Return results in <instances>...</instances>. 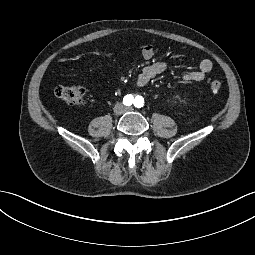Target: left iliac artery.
<instances>
[{
    "instance_id": "obj_1",
    "label": "left iliac artery",
    "mask_w": 255,
    "mask_h": 255,
    "mask_svg": "<svg viewBox=\"0 0 255 255\" xmlns=\"http://www.w3.org/2000/svg\"><path fill=\"white\" fill-rule=\"evenodd\" d=\"M144 100H142L141 96L136 97L135 101H134V105L137 108H141L144 104Z\"/></svg>"
}]
</instances>
